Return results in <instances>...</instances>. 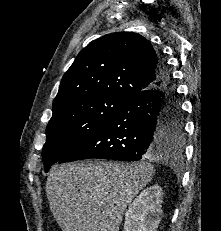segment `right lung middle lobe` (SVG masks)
Returning a JSON list of instances; mask_svg holds the SVG:
<instances>
[{
  "instance_id": "dd1d6c3e",
  "label": "right lung middle lobe",
  "mask_w": 221,
  "mask_h": 231,
  "mask_svg": "<svg viewBox=\"0 0 221 231\" xmlns=\"http://www.w3.org/2000/svg\"><path fill=\"white\" fill-rule=\"evenodd\" d=\"M126 100L113 95L90 96L53 113L42 150L45 171L95 133ZM167 114L169 120L163 135L180 149L184 141L180 106H169Z\"/></svg>"
}]
</instances>
